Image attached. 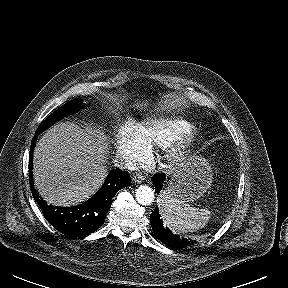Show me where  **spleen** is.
<instances>
[{
  "instance_id": "obj_1",
  "label": "spleen",
  "mask_w": 288,
  "mask_h": 288,
  "mask_svg": "<svg viewBox=\"0 0 288 288\" xmlns=\"http://www.w3.org/2000/svg\"><path fill=\"white\" fill-rule=\"evenodd\" d=\"M160 203L165 223L183 233L203 228L210 219L208 209L193 207L166 194L163 195Z\"/></svg>"
}]
</instances>
